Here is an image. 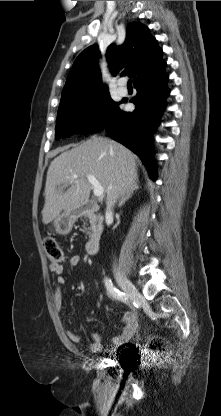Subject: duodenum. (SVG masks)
<instances>
[{"instance_id": "duodenum-1", "label": "duodenum", "mask_w": 221, "mask_h": 416, "mask_svg": "<svg viewBox=\"0 0 221 416\" xmlns=\"http://www.w3.org/2000/svg\"><path fill=\"white\" fill-rule=\"evenodd\" d=\"M98 209V206L93 201H87L73 209L70 210V215L74 217H80L85 212H94ZM101 242V236L99 234H93L86 244V252L89 255H95L97 254L99 250Z\"/></svg>"}]
</instances>
